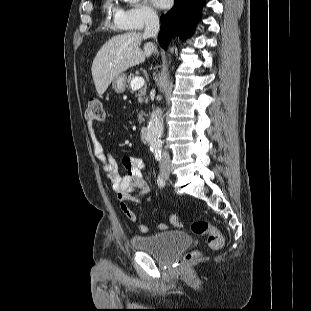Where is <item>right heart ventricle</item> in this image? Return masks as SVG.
<instances>
[{"label": "right heart ventricle", "mask_w": 311, "mask_h": 311, "mask_svg": "<svg viewBox=\"0 0 311 311\" xmlns=\"http://www.w3.org/2000/svg\"><path fill=\"white\" fill-rule=\"evenodd\" d=\"M103 10L107 17V23L112 28L125 29L121 22L122 9L115 5L113 0H105L103 4Z\"/></svg>", "instance_id": "obj_1"}]
</instances>
